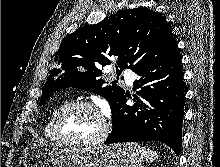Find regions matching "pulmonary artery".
<instances>
[{"instance_id":"1","label":"pulmonary artery","mask_w":220,"mask_h":167,"mask_svg":"<svg viewBox=\"0 0 220 167\" xmlns=\"http://www.w3.org/2000/svg\"><path fill=\"white\" fill-rule=\"evenodd\" d=\"M123 74L125 76V82L126 84L131 87L133 84V75L130 71L124 70Z\"/></svg>"}]
</instances>
